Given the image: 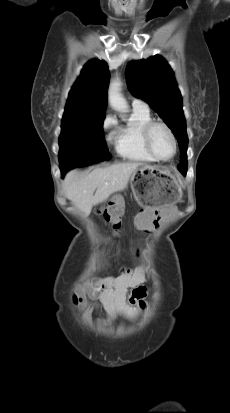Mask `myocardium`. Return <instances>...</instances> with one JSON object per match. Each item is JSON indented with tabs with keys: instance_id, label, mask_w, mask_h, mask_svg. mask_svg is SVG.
Segmentation results:
<instances>
[{
	"instance_id": "obj_1",
	"label": "myocardium",
	"mask_w": 230,
	"mask_h": 413,
	"mask_svg": "<svg viewBox=\"0 0 230 413\" xmlns=\"http://www.w3.org/2000/svg\"><path fill=\"white\" fill-rule=\"evenodd\" d=\"M156 126H161L163 127L168 134L170 135L172 142H173V146H174V150H173V154L171 155V157L167 158V159H163L161 157H159L155 151L152 148L151 145V133L152 130L156 127ZM142 138H143V143L144 146L147 150V152L149 153V155L155 159L156 161L159 162H169L171 161L177 154L178 151V142H177V138L175 136L174 131L172 130V128L164 121H160V120H151L150 122H148L143 130H142Z\"/></svg>"
}]
</instances>
